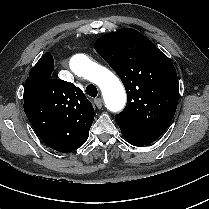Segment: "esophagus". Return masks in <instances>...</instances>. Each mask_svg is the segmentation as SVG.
Listing matches in <instances>:
<instances>
[{
    "instance_id": "esophagus-1",
    "label": "esophagus",
    "mask_w": 209,
    "mask_h": 209,
    "mask_svg": "<svg viewBox=\"0 0 209 209\" xmlns=\"http://www.w3.org/2000/svg\"><path fill=\"white\" fill-rule=\"evenodd\" d=\"M94 103L98 108L102 107V99L101 98L94 99Z\"/></svg>"
}]
</instances>
